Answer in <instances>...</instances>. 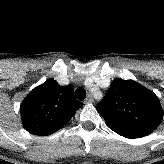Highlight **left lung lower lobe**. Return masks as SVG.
<instances>
[{
	"instance_id": "0a47b994",
	"label": "left lung lower lobe",
	"mask_w": 164,
	"mask_h": 164,
	"mask_svg": "<svg viewBox=\"0 0 164 164\" xmlns=\"http://www.w3.org/2000/svg\"><path fill=\"white\" fill-rule=\"evenodd\" d=\"M114 132L118 133L119 135L121 136H124L126 138H131V139H134V138H140V137H143L139 134H136V133H132V132H126V131H117V130H113Z\"/></svg>"
}]
</instances>
